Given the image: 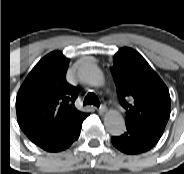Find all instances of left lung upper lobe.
<instances>
[{
  "mask_svg": "<svg viewBox=\"0 0 184 174\" xmlns=\"http://www.w3.org/2000/svg\"><path fill=\"white\" fill-rule=\"evenodd\" d=\"M111 73L127 110L126 126L161 136L170 116V95L160 77L131 48H122L114 56Z\"/></svg>",
  "mask_w": 184,
  "mask_h": 174,
  "instance_id": "1",
  "label": "left lung upper lobe"
}]
</instances>
